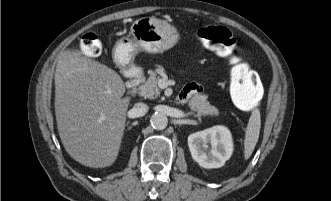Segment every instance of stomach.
<instances>
[{
    "mask_svg": "<svg viewBox=\"0 0 331 201\" xmlns=\"http://www.w3.org/2000/svg\"><path fill=\"white\" fill-rule=\"evenodd\" d=\"M178 40L176 29L166 21L143 17L133 22L129 36L116 42L114 52L119 65L128 67L138 52L162 53L176 45Z\"/></svg>",
    "mask_w": 331,
    "mask_h": 201,
    "instance_id": "0dacf381",
    "label": "stomach"
}]
</instances>
